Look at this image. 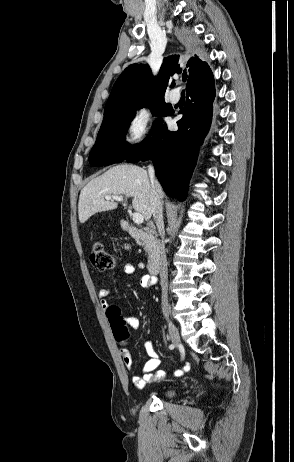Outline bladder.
Masks as SVG:
<instances>
[{
    "label": "bladder",
    "instance_id": "1",
    "mask_svg": "<svg viewBox=\"0 0 294 462\" xmlns=\"http://www.w3.org/2000/svg\"><path fill=\"white\" fill-rule=\"evenodd\" d=\"M176 393H177V389H176L175 387H168V388L165 389V391L163 392V396H164V397H172V396H174Z\"/></svg>",
    "mask_w": 294,
    "mask_h": 462
}]
</instances>
